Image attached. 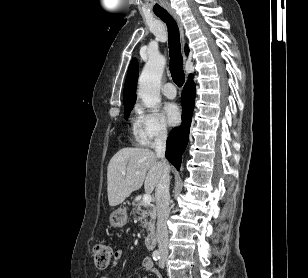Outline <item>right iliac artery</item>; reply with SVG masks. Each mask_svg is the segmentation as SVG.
<instances>
[{
	"mask_svg": "<svg viewBox=\"0 0 308 278\" xmlns=\"http://www.w3.org/2000/svg\"><path fill=\"white\" fill-rule=\"evenodd\" d=\"M152 257L154 260H159L160 259V252L159 250H155L152 254Z\"/></svg>",
	"mask_w": 308,
	"mask_h": 278,
	"instance_id": "right-iliac-artery-1",
	"label": "right iliac artery"
}]
</instances>
